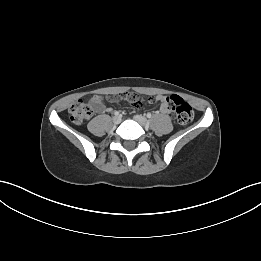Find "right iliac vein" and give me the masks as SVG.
<instances>
[{
	"label": "right iliac vein",
	"instance_id": "1",
	"mask_svg": "<svg viewBox=\"0 0 261 261\" xmlns=\"http://www.w3.org/2000/svg\"><path fill=\"white\" fill-rule=\"evenodd\" d=\"M113 122H114V124H120L121 123V117L120 116H114Z\"/></svg>",
	"mask_w": 261,
	"mask_h": 261
}]
</instances>
